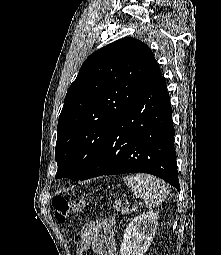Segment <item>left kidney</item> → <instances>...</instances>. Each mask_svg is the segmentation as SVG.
Returning <instances> with one entry per match:
<instances>
[{
	"label": "left kidney",
	"mask_w": 221,
	"mask_h": 255,
	"mask_svg": "<svg viewBox=\"0 0 221 255\" xmlns=\"http://www.w3.org/2000/svg\"><path fill=\"white\" fill-rule=\"evenodd\" d=\"M158 215L149 211L132 219L124 232L121 255H144L155 236Z\"/></svg>",
	"instance_id": "left-kidney-1"
}]
</instances>
